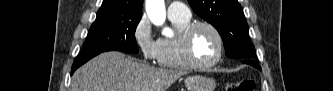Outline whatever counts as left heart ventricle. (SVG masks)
<instances>
[{
  "label": "left heart ventricle",
  "instance_id": "obj_1",
  "mask_svg": "<svg viewBox=\"0 0 333 91\" xmlns=\"http://www.w3.org/2000/svg\"><path fill=\"white\" fill-rule=\"evenodd\" d=\"M218 41L213 32L205 27L199 28L193 37V54L200 63H207L218 54Z\"/></svg>",
  "mask_w": 333,
  "mask_h": 91
}]
</instances>
